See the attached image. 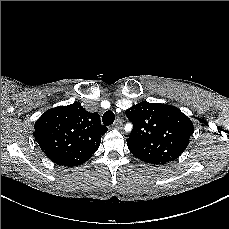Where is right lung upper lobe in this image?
Here are the masks:
<instances>
[{
    "mask_svg": "<svg viewBox=\"0 0 229 229\" xmlns=\"http://www.w3.org/2000/svg\"><path fill=\"white\" fill-rule=\"evenodd\" d=\"M100 115L86 111L80 103L47 110L34 125V137L55 164L77 166L97 151L107 132Z\"/></svg>",
    "mask_w": 229,
    "mask_h": 229,
    "instance_id": "1",
    "label": "right lung upper lobe"
}]
</instances>
